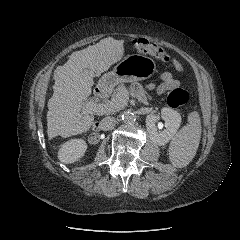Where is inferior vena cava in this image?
Listing matches in <instances>:
<instances>
[{
	"label": "inferior vena cava",
	"instance_id": "602c4592",
	"mask_svg": "<svg viewBox=\"0 0 240 240\" xmlns=\"http://www.w3.org/2000/svg\"><path fill=\"white\" fill-rule=\"evenodd\" d=\"M116 124V119L111 116L103 118L100 122V129L103 131L112 130Z\"/></svg>",
	"mask_w": 240,
	"mask_h": 240
}]
</instances>
